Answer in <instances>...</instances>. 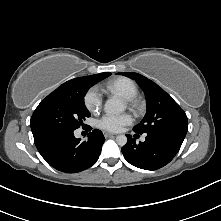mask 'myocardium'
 <instances>
[{
	"label": "myocardium",
	"instance_id": "f54148a6",
	"mask_svg": "<svg viewBox=\"0 0 221 221\" xmlns=\"http://www.w3.org/2000/svg\"><path fill=\"white\" fill-rule=\"evenodd\" d=\"M125 101H126V104L131 108L139 107V100L137 99V97L127 98L125 99Z\"/></svg>",
	"mask_w": 221,
	"mask_h": 221
}]
</instances>
